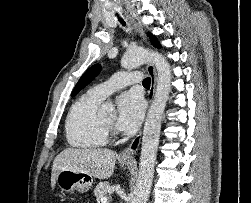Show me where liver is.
<instances>
[{
    "instance_id": "obj_1",
    "label": "liver",
    "mask_w": 251,
    "mask_h": 203,
    "mask_svg": "<svg viewBox=\"0 0 251 203\" xmlns=\"http://www.w3.org/2000/svg\"><path fill=\"white\" fill-rule=\"evenodd\" d=\"M117 154L109 149L66 148L56 156L52 166L51 187L55 188L60 171L84 172L97 179H107L113 174Z\"/></svg>"
}]
</instances>
